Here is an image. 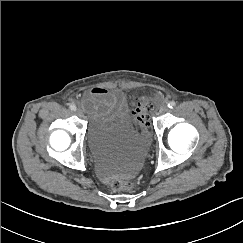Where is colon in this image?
<instances>
[{
  "mask_svg": "<svg viewBox=\"0 0 243 243\" xmlns=\"http://www.w3.org/2000/svg\"><path fill=\"white\" fill-rule=\"evenodd\" d=\"M152 108L153 105L148 99L141 97L134 100L132 116L141 130H148ZM111 186L114 191H128L133 188L134 183L131 180H115Z\"/></svg>",
  "mask_w": 243,
  "mask_h": 243,
  "instance_id": "5ec220e1",
  "label": "colon"
}]
</instances>
